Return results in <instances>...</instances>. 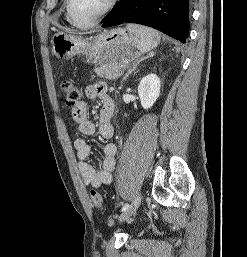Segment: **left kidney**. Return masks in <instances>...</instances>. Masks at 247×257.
I'll list each match as a JSON object with an SVG mask.
<instances>
[{"label":"left kidney","mask_w":247,"mask_h":257,"mask_svg":"<svg viewBox=\"0 0 247 257\" xmlns=\"http://www.w3.org/2000/svg\"><path fill=\"white\" fill-rule=\"evenodd\" d=\"M160 79L156 74H149L142 78L138 85L141 105L145 110L150 109L160 95Z\"/></svg>","instance_id":"1"}]
</instances>
